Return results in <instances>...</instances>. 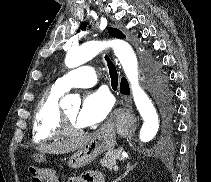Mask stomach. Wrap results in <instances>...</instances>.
<instances>
[{"label":"stomach","instance_id":"stomach-1","mask_svg":"<svg viewBox=\"0 0 211 182\" xmlns=\"http://www.w3.org/2000/svg\"><path fill=\"white\" fill-rule=\"evenodd\" d=\"M115 130L104 129L93 134L89 141L68 159V166L76 169L91 163L103 151L113 149L115 146ZM37 161L42 155L34 156Z\"/></svg>","mask_w":211,"mask_h":182}]
</instances>
